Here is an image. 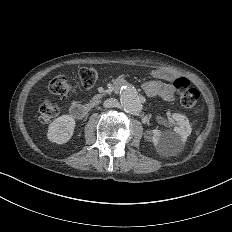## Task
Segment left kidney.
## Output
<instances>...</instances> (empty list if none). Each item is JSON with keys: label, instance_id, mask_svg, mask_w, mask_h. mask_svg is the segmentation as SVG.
Segmentation results:
<instances>
[{"label": "left kidney", "instance_id": "5707ae66", "mask_svg": "<svg viewBox=\"0 0 232 232\" xmlns=\"http://www.w3.org/2000/svg\"><path fill=\"white\" fill-rule=\"evenodd\" d=\"M172 118L178 125L174 127L173 131L162 132L158 129L152 131V142L159 152L163 150L174 151L182 149L187 137L191 134L192 128L186 116L174 113L172 114Z\"/></svg>", "mask_w": 232, "mask_h": 232}]
</instances>
